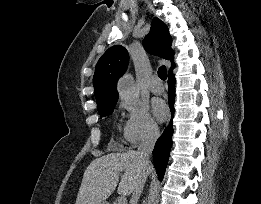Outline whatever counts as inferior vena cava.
<instances>
[{"label":"inferior vena cava","instance_id":"602c4592","mask_svg":"<svg viewBox=\"0 0 261 204\" xmlns=\"http://www.w3.org/2000/svg\"><path fill=\"white\" fill-rule=\"evenodd\" d=\"M158 137H159L158 127L152 126L147 130L146 134L143 136L141 140V143L138 146L137 155H138L140 167L143 170V174L141 180L136 185L132 193L130 204H137L138 199L142 193L146 181L145 172L150 166L149 157L152 153V150L154 148V145Z\"/></svg>","mask_w":261,"mask_h":204}]
</instances>
